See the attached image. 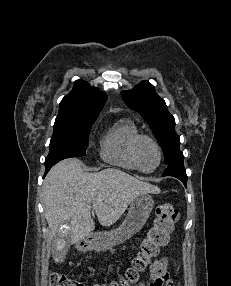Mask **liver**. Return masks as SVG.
I'll return each instance as SVG.
<instances>
[{
  "label": "liver",
  "mask_w": 231,
  "mask_h": 286,
  "mask_svg": "<svg viewBox=\"0 0 231 286\" xmlns=\"http://www.w3.org/2000/svg\"><path fill=\"white\" fill-rule=\"evenodd\" d=\"M160 189L115 168L97 173L84 172L77 159H65L49 171L43 184L44 215L51 236H67L70 244L88 236L95 228L91 209L99 223L109 227L117 222L133 199L157 194ZM69 223L64 235L61 227Z\"/></svg>",
  "instance_id": "6515ba94"
}]
</instances>
